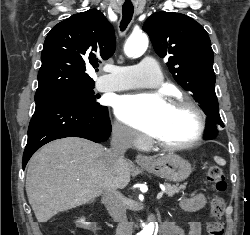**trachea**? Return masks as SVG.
<instances>
[{
    "instance_id": "obj_1",
    "label": "trachea",
    "mask_w": 250,
    "mask_h": 235,
    "mask_svg": "<svg viewBox=\"0 0 250 235\" xmlns=\"http://www.w3.org/2000/svg\"><path fill=\"white\" fill-rule=\"evenodd\" d=\"M133 13H134L133 5H129V6L124 5L122 7V20L120 22L121 31H124L127 28L128 24L132 20Z\"/></svg>"
}]
</instances>
